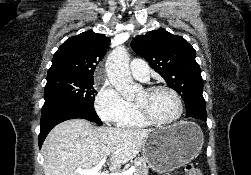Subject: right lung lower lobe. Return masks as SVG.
Masks as SVG:
<instances>
[{"label": "right lung lower lobe", "instance_id": "obj_1", "mask_svg": "<svg viewBox=\"0 0 251 175\" xmlns=\"http://www.w3.org/2000/svg\"><path fill=\"white\" fill-rule=\"evenodd\" d=\"M82 118L102 125L94 107H87L65 101H46L42 107L40 120L39 147L46 138L49 131L65 120Z\"/></svg>", "mask_w": 251, "mask_h": 175}]
</instances>
